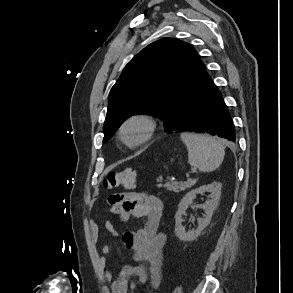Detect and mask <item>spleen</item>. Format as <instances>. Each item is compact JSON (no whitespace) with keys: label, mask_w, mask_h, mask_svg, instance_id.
<instances>
[{"label":"spleen","mask_w":293,"mask_h":293,"mask_svg":"<svg viewBox=\"0 0 293 293\" xmlns=\"http://www.w3.org/2000/svg\"><path fill=\"white\" fill-rule=\"evenodd\" d=\"M188 151V163L202 172L218 168L225 156L224 144L211 136L189 132L181 133Z\"/></svg>","instance_id":"obj_1"}]
</instances>
